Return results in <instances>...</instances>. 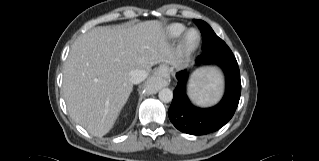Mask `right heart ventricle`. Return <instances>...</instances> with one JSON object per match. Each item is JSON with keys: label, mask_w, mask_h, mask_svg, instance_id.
Segmentation results:
<instances>
[{"label": "right heart ventricle", "mask_w": 319, "mask_h": 161, "mask_svg": "<svg viewBox=\"0 0 319 161\" xmlns=\"http://www.w3.org/2000/svg\"><path fill=\"white\" fill-rule=\"evenodd\" d=\"M186 26L181 23H172L165 27V33L169 39H176L186 31Z\"/></svg>", "instance_id": "obj_1"}]
</instances>
